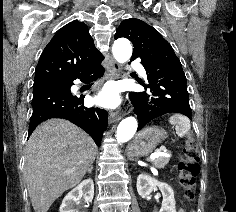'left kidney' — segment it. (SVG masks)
Wrapping results in <instances>:
<instances>
[{
	"instance_id": "5707ae66",
	"label": "left kidney",
	"mask_w": 236,
	"mask_h": 212,
	"mask_svg": "<svg viewBox=\"0 0 236 212\" xmlns=\"http://www.w3.org/2000/svg\"><path fill=\"white\" fill-rule=\"evenodd\" d=\"M155 187L160 189L163 196L160 212H176L174 191L171 186L146 174L138 176L137 192L142 198H149Z\"/></svg>"
}]
</instances>
